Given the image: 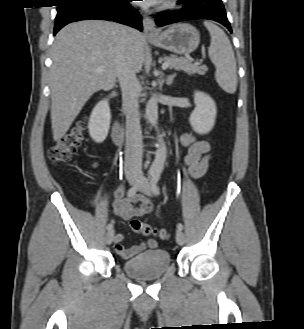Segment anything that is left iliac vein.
I'll return each mask as SVG.
<instances>
[{"instance_id":"1","label":"left iliac vein","mask_w":304,"mask_h":329,"mask_svg":"<svg viewBox=\"0 0 304 329\" xmlns=\"http://www.w3.org/2000/svg\"><path fill=\"white\" fill-rule=\"evenodd\" d=\"M139 190L146 195H152V189L147 180H143ZM176 242L179 245H183L185 243V234L180 229L176 231Z\"/></svg>"}]
</instances>
